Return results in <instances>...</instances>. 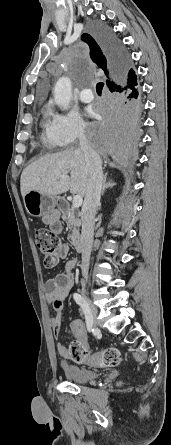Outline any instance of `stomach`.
Masks as SVG:
<instances>
[{"label": "stomach", "instance_id": "obj_1", "mask_svg": "<svg viewBox=\"0 0 171 445\" xmlns=\"http://www.w3.org/2000/svg\"><path fill=\"white\" fill-rule=\"evenodd\" d=\"M24 205L28 214L33 217L49 216L53 221L59 218V212L55 209L56 197L42 194L32 190L27 192L24 197Z\"/></svg>", "mask_w": 171, "mask_h": 445}]
</instances>
